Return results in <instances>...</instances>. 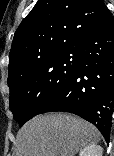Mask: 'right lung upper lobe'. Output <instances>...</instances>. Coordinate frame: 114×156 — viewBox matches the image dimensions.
I'll list each match as a JSON object with an SVG mask.
<instances>
[{
	"label": "right lung upper lobe",
	"mask_w": 114,
	"mask_h": 156,
	"mask_svg": "<svg viewBox=\"0 0 114 156\" xmlns=\"http://www.w3.org/2000/svg\"><path fill=\"white\" fill-rule=\"evenodd\" d=\"M107 12L103 0H38L15 32L8 85L39 62L76 47Z\"/></svg>",
	"instance_id": "right-lung-upper-lobe-1"
}]
</instances>
